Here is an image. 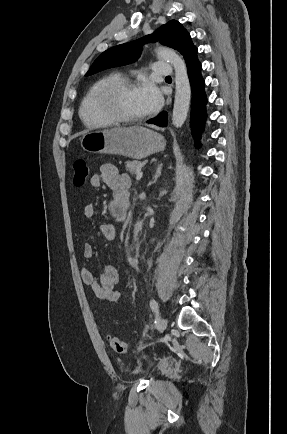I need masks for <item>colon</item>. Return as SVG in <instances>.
Listing matches in <instances>:
<instances>
[{
  "mask_svg": "<svg viewBox=\"0 0 287 434\" xmlns=\"http://www.w3.org/2000/svg\"><path fill=\"white\" fill-rule=\"evenodd\" d=\"M73 184L75 186H82L85 184L89 177V167L84 160H76L73 164ZM109 346L111 349L119 354H124L128 350L127 344L120 338L114 335H108L107 337Z\"/></svg>",
  "mask_w": 287,
  "mask_h": 434,
  "instance_id": "obj_1",
  "label": "colon"
}]
</instances>
